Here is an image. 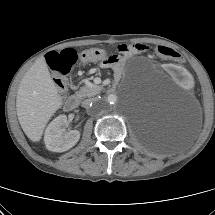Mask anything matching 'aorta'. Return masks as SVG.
<instances>
[{
  "instance_id": "aorta-1",
  "label": "aorta",
  "mask_w": 215,
  "mask_h": 215,
  "mask_svg": "<svg viewBox=\"0 0 215 215\" xmlns=\"http://www.w3.org/2000/svg\"><path fill=\"white\" fill-rule=\"evenodd\" d=\"M117 98L115 95H109L106 99V103L107 105H112L116 102Z\"/></svg>"
}]
</instances>
